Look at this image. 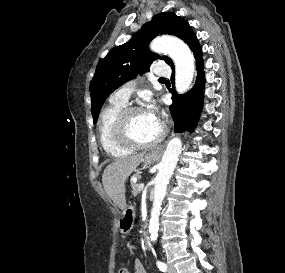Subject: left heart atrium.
Here are the masks:
<instances>
[{
  "mask_svg": "<svg viewBox=\"0 0 285 273\" xmlns=\"http://www.w3.org/2000/svg\"><path fill=\"white\" fill-rule=\"evenodd\" d=\"M150 117L158 120V110L153 102H149L144 110Z\"/></svg>",
  "mask_w": 285,
  "mask_h": 273,
  "instance_id": "obj_1",
  "label": "left heart atrium"
}]
</instances>
